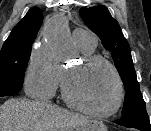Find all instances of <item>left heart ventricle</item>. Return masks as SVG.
I'll list each match as a JSON object with an SVG mask.
<instances>
[{
    "label": "left heart ventricle",
    "mask_w": 151,
    "mask_h": 131,
    "mask_svg": "<svg viewBox=\"0 0 151 131\" xmlns=\"http://www.w3.org/2000/svg\"><path fill=\"white\" fill-rule=\"evenodd\" d=\"M69 86L75 98L96 111L108 110L116 100L115 79L103 64L81 69L71 78Z\"/></svg>",
    "instance_id": "1"
}]
</instances>
